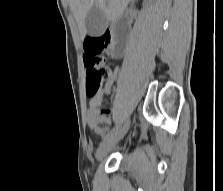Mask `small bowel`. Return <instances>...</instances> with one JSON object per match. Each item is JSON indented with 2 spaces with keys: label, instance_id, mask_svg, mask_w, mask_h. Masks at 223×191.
<instances>
[{
  "label": "small bowel",
  "instance_id": "small-bowel-1",
  "mask_svg": "<svg viewBox=\"0 0 223 191\" xmlns=\"http://www.w3.org/2000/svg\"><path fill=\"white\" fill-rule=\"evenodd\" d=\"M117 69L112 70L110 78L104 84L102 90L90 100V108L87 112L88 126L99 136H104L109 131L112 123L110 117L106 116L99 110L104 95H108L111 91L112 84L116 78Z\"/></svg>",
  "mask_w": 223,
  "mask_h": 191
}]
</instances>
